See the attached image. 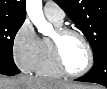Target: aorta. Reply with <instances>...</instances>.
I'll return each mask as SVG.
<instances>
[{
    "label": "aorta",
    "mask_w": 107,
    "mask_h": 89,
    "mask_svg": "<svg viewBox=\"0 0 107 89\" xmlns=\"http://www.w3.org/2000/svg\"><path fill=\"white\" fill-rule=\"evenodd\" d=\"M26 11L28 17L40 33L46 36L53 33V26L49 22H47L44 17L42 10V0H27Z\"/></svg>",
    "instance_id": "762f6f07"
}]
</instances>
